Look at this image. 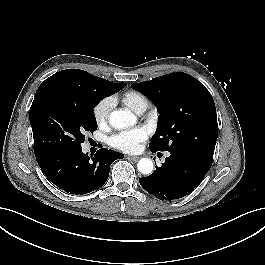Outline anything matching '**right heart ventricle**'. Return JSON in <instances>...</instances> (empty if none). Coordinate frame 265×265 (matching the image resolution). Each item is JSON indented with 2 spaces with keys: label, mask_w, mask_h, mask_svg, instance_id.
Listing matches in <instances>:
<instances>
[{
  "label": "right heart ventricle",
  "mask_w": 265,
  "mask_h": 265,
  "mask_svg": "<svg viewBox=\"0 0 265 265\" xmlns=\"http://www.w3.org/2000/svg\"><path fill=\"white\" fill-rule=\"evenodd\" d=\"M122 102L132 111L141 114L149 105L146 95L136 90H129L121 97Z\"/></svg>",
  "instance_id": "e07e8e85"
}]
</instances>
